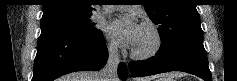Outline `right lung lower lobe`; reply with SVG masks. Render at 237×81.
<instances>
[{
	"label": "right lung lower lobe",
	"instance_id": "right-lung-lower-lobe-1",
	"mask_svg": "<svg viewBox=\"0 0 237 81\" xmlns=\"http://www.w3.org/2000/svg\"><path fill=\"white\" fill-rule=\"evenodd\" d=\"M108 51L103 35L88 38L65 32L42 31L38 39L32 81H53L74 71L101 69L107 62ZM118 75L127 78L125 64Z\"/></svg>",
	"mask_w": 237,
	"mask_h": 81
}]
</instances>
